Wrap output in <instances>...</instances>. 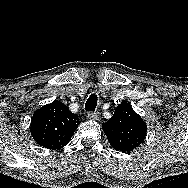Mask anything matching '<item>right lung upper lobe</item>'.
I'll use <instances>...</instances> for the list:
<instances>
[{"mask_svg":"<svg viewBox=\"0 0 188 188\" xmlns=\"http://www.w3.org/2000/svg\"><path fill=\"white\" fill-rule=\"evenodd\" d=\"M78 115L60 101H53L35 111L31 121V135L36 143L49 149L67 145L78 128Z\"/></svg>","mask_w":188,"mask_h":188,"instance_id":"cb5924a9","label":"right lung upper lobe"}]
</instances>
